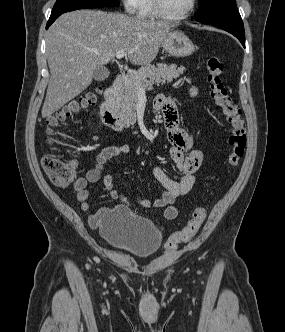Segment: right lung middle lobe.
I'll return each instance as SVG.
<instances>
[{
	"instance_id": "1",
	"label": "right lung middle lobe",
	"mask_w": 285,
	"mask_h": 332,
	"mask_svg": "<svg viewBox=\"0 0 285 332\" xmlns=\"http://www.w3.org/2000/svg\"><path fill=\"white\" fill-rule=\"evenodd\" d=\"M118 5L119 0H57L51 14L83 8L115 7Z\"/></svg>"
}]
</instances>
